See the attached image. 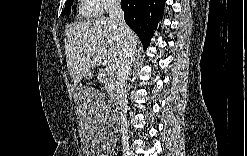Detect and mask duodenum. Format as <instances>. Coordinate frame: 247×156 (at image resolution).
I'll return each instance as SVG.
<instances>
[{"label":"duodenum","instance_id":"1","mask_svg":"<svg viewBox=\"0 0 247 156\" xmlns=\"http://www.w3.org/2000/svg\"><path fill=\"white\" fill-rule=\"evenodd\" d=\"M120 102H121V98H120V95L118 94L117 95V100L115 101V112L116 113H118Z\"/></svg>","mask_w":247,"mask_h":156}]
</instances>
